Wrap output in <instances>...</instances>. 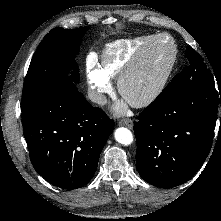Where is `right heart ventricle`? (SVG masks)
I'll return each instance as SVG.
<instances>
[{
  "label": "right heart ventricle",
  "instance_id": "1",
  "mask_svg": "<svg viewBox=\"0 0 221 221\" xmlns=\"http://www.w3.org/2000/svg\"><path fill=\"white\" fill-rule=\"evenodd\" d=\"M155 36L143 35L108 44L102 53L100 69L109 79L119 78L136 62L143 48Z\"/></svg>",
  "mask_w": 221,
  "mask_h": 221
}]
</instances>
